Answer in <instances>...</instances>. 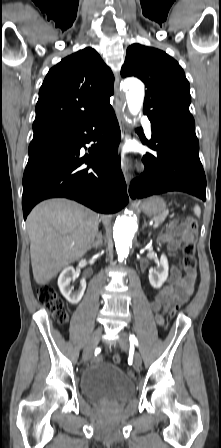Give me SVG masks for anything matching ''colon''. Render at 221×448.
I'll return each instance as SVG.
<instances>
[{
	"instance_id": "obj_1",
	"label": "colon",
	"mask_w": 221,
	"mask_h": 448,
	"mask_svg": "<svg viewBox=\"0 0 221 448\" xmlns=\"http://www.w3.org/2000/svg\"><path fill=\"white\" fill-rule=\"evenodd\" d=\"M185 231L186 235L189 237L187 241L184 242L182 247L183 254V269L187 272L193 271L196 269L197 261L195 258V243L194 237L198 231V223L197 221L190 217L185 221ZM37 296L39 301L45 305V307L53 314L54 319L59 323L66 322L68 318V313L64 303L58 297L55 289L48 284L42 285L38 292ZM178 309V306H174L171 309V315L175 314ZM97 363H103V359L101 357L97 358ZM121 362V356L115 355L113 357V363L119 364Z\"/></svg>"
}]
</instances>
